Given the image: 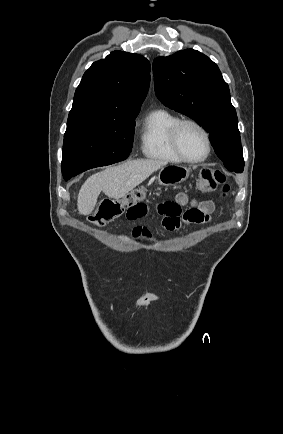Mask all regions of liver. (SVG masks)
<instances>
[{
  "label": "liver",
  "mask_w": 283,
  "mask_h": 434,
  "mask_svg": "<svg viewBox=\"0 0 283 434\" xmlns=\"http://www.w3.org/2000/svg\"><path fill=\"white\" fill-rule=\"evenodd\" d=\"M166 164L165 161L151 159L131 160L93 174L79 191L77 199L79 213L91 214L100 192H104L109 198L119 200Z\"/></svg>",
  "instance_id": "liver-1"
}]
</instances>
